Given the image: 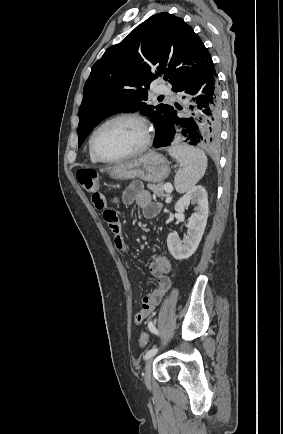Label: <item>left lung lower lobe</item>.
I'll use <instances>...</instances> for the list:
<instances>
[{
	"label": "left lung lower lobe",
	"mask_w": 283,
	"mask_h": 434,
	"mask_svg": "<svg viewBox=\"0 0 283 434\" xmlns=\"http://www.w3.org/2000/svg\"><path fill=\"white\" fill-rule=\"evenodd\" d=\"M173 91L193 96L191 101L194 106H190L192 116L179 117L173 110L164 133L155 141V147L169 146L175 132L181 130L186 138L185 142L194 146L217 149L220 143L221 97L212 59Z\"/></svg>",
	"instance_id": "1"
}]
</instances>
